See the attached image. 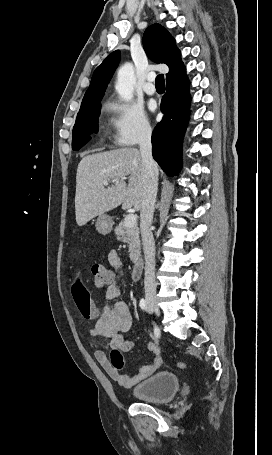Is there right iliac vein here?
<instances>
[{
    "label": "right iliac vein",
    "mask_w": 272,
    "mask_h": 455,
    "mask_svg": "<svg viewBox=\"0 0 272 455\" xmlns=\"http://www.w3.org/2000/svg\"><path fill=\"white\" fill-rule=\"evenodd\" d=\"M147 304H148L149 308H150L157 316L160 315V310H159V308H158V306H157V303H156V301H155L154 299H152V298L147 299Z\"/></svg>",
    "instance_id": "right-iliac-vein-1"
}]
</instances>
